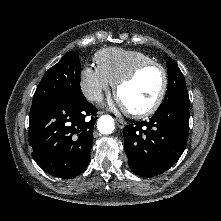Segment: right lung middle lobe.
Instances as JSON below:
<instances>
[{"instance_id":"obj_1","label":"right lung middle lobe","mask_w":221,"mask_h":221,"mask_svg":"<svg viewBox=\"0 0 221 221\" xmlns=\"http://www.w3.org/2000/svg\"><path fill=\"white\" fill-rule=\"evenodd\" d=\"M78 58L77 53L68 52L61 61L47 70L33 96L30 114L57 98H84L80 87L81 65Z\"/></svg>"}]
</instances>
